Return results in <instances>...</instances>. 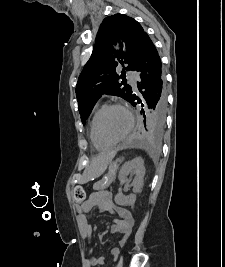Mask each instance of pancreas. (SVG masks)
<instances>
[{
	"label": "pancreas",
	"mask_w": 225,
	"mask_h": 267,
	"mask_svg": "<svg viewBox=\"0 0 225 267\" xmlns=\"http://www.w3.org/2000/svg\"><path fill=\"white\" fill-rule=\"evenodd\" d=\"M118 169L117 162L110 163L108 173L98 182L93 185L94 190H105L114 182Z\"/></svg>",
	"instance_id": "cf45deb5"
}]
</instances>
